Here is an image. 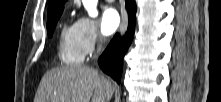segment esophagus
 I'll list each match as a JSON object with an SVG mask.
<instances>
[{"label": "esophagus", "mask_w": 221, "mask_h": 102, "mask_svg": "<svg viewBox=\"0 0 221 102\" xmlns=\"http://www.w3.org/2000/svg\"><path fill=\"white\" fill-rule=\"evenodd\" d=\"M126 27H127V14H126V12H124L122 15V22H121V26H120L121 33L125 32Z\"/></svg>", "instance_id": "34e87169"}]
</instances>
